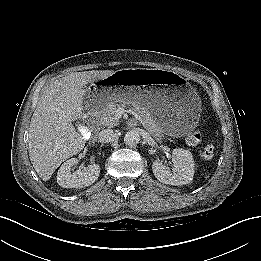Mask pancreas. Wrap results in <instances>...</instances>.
<instances>
[{"instance_id":"cf45deb5","label":"pancreas","mask_w":261,"mask_h":261,"mask_svg":"<svg viewBox=\"0 0 261 261\" xmlns=\"http://www.w3.org/2000/svg\"><path fill=\"white\" fill-rule=\"evenodd\" d=\"M133 106V108L137 112H143V108L138 105L135 102H123V103H117V102H111L104 110L101 116L100 123L105 127H113L118 125V118L116 116V110L118 108H124L125 106ZM144 127L149 131L150 134L153 135L154 138L157 140H161L162 137V130L157 126V124L150 118H146L144 120Z\"/></svg>"}]
</instances>
